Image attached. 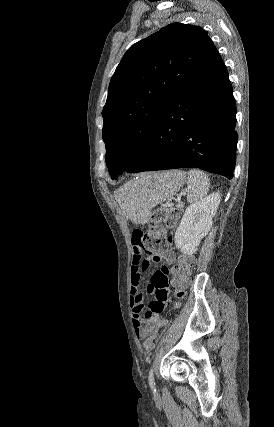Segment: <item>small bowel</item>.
<instances>
[{
    "label": "small bowel",
    "instance_id": "small-bowel-1",
    "mask_svg": "<svg viewBox=\"0 0 274 427\" xmlns=\"http://www.w3.org/2000/svg\"><path fill=\"white\" fill-rule=\"evenodd\" d=\"M142 247L138 245L132 246L133 251V262L131 270V310L133 314V326L136 330L137 335L140 338H147L149 331H154V325L143 326L141 314L144 310V301L143 294L141 293L139 286L142 281V276L144 271L149 266V259L145 258L142 255ZM146 255H151V250H146ZM155 257L153 258L154 264H159L161 260L164 261L166 265H170L176 261V254L167 249L166 251H157L154 250ZM147 291L149 294H157L159 301H148L146 307L148 310H165L166 302L169 300L168 291L170 289L171 282L168 275V268L165 266L162 269H156L155 275L148 277ZM154 315H159L161 318V313L158 311H150L148 313V318L153 320Z\"/></svg>",
    "mask_w": 274,
    "mask_h": 427
}]
</instances>
